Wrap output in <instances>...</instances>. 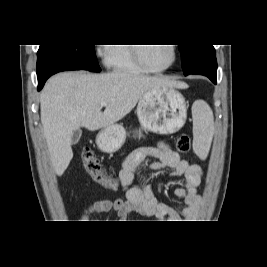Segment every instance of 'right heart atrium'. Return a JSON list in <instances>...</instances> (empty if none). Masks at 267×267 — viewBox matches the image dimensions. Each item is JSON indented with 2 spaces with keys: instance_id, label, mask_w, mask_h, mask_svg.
<instances>
[{
  "instance_id": "1",
  "label": "right heart atrium",
  "mask_w": 267,
  "mask_h": 267,
  "mask_svg": "<svg viewBox=\"0 0 267 267\" xmlns=\"http://www.w3.org/2000/svg\"><path fill=\"white\" fill-rule=\"evenodd\" d=\"M109 54H110V50L109 48L106 46V44L104 45H99L97 47V55L103 59L104 63L109 64Z\"/></svg>"
}]
</instances>
